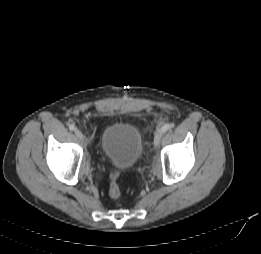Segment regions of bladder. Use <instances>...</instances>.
I'll use <instances>...</instances> for the list:
<instances>
[{
    "label": "bladder",
    "mask_w": 261,
    "mask_h": 254,
    "mask_svg": "<svg viewBox=\"0 0 261 254\" xmlns=\"http://www.w3.org/2000/svg\"><path fill=\"white\" fill-rule=\"evenodd\" d=\"M100 149L112 164L122 169L130 168L143 152L140 132L129 123L112 124L102 134Z\"/></svg>",
    "instance_id": "31cf9c89"
}]
</instances>
